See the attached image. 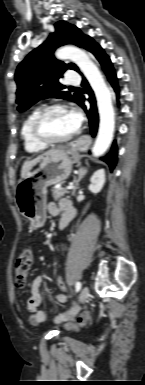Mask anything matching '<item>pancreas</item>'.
<instances>
[{
	"label": "pancreas",
	"mask_w": 145,
	"mask_h": 385,
	"mask_svg": "<svg viewBox=\"0 0 145 385\" xmlns=\"http://www.w3.org/2000/svg\"><path fill=\"white\" fill-rule=\"evenodd\" d=\"M68 193H69V191L63 187L54 188L52 190V195H53L54 199H60L61 197L65 196Z\"/></svg>",
	"instance_id": "cf45deb5"
}]
</instances>
